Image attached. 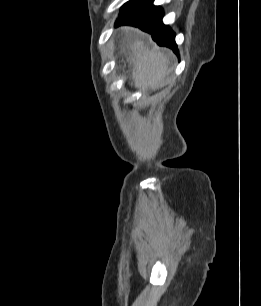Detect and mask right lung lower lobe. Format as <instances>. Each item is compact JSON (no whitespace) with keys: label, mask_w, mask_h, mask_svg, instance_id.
<instances>
[{"label":"right lung lower lobe","mask_w":261,"mask_h":306,"mask_svg":"<svg viewBox=\"0 0 261 306\" xmlns=\"http://www.w3.org/2000/svg\"><path fill=\"white\" fill-rule=\"evenodd\" d=\"M152 3L153 0H132L120 12L116 26L131 25L139 27L150 33L158 45L169 47L178 54L174 32L169 26L162 23V9Z\"/></svg>","instance_id":"98d812e1"}]
</instances>
